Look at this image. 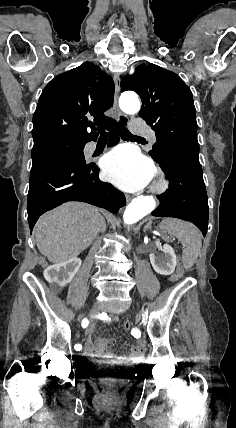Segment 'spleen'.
<instances>
[{
    "instance_id": "3e777b00",
    "label": "spleen",
    "mask_w": 236,
    "mask_h": 428,
    "mask_svg": "<svg viewBox=\"0 0 236 428\" xmlns=\"http://www.w3.org/2000/svg\"><path fill=\"white\" fill-rule=\"evenodd\" d=\"M160 228L164 232H168L170 236L178 238L184 248L182 254L183 266L186 270L192 268L202 246L201 234L198 228L190 224V222H183V220H177V218H165L161 222Z\"/></svg>"
}]
</instances>
